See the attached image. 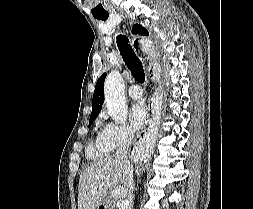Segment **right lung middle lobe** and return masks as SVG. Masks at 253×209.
Instances as JSON below:
<instances>
[{
	"label": "right lung middle lobe",
	"instance_id": "right-lung-middle-lobe-1",
	"mask_svg": "<svg viewBox=\"0 0 253 209\" xmlns=\"http://www.w3.org/2000/svg\"><path fill=\"white\" fill-rule=\"evenodd\" d=\"M94 120H95V119H90V120H89V126H91V124L93 123Z\"/></svg>",
	"mask_w": 253,
	"mask_h": 209
}]
</instances>
